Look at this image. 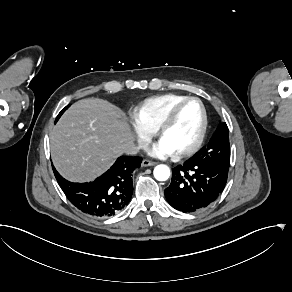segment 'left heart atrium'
Listing matches in <instances>:
<instances>
[{
	"label": "left heart atrium",
	"instance_id": "1",
	"mask_svg": "<svg viewBox=\"0 0 292 292\" xmlns=\"http://www.w3.org/2000/svg\"><path fill=\"white\" fill-rule=\"evenodd\" d=\"M176 150L173 146L168 144L165 140L155 144L152 149L150 150L151 154L158 156V157H166Z\"/></svg>",
	"mask_w": 292,
	"mask_h": 292
}]
</instances>
